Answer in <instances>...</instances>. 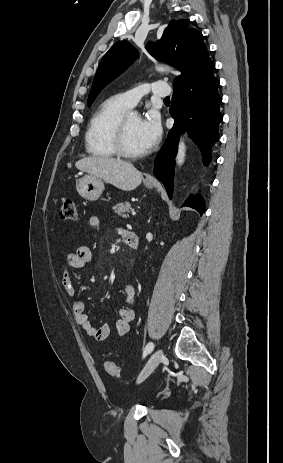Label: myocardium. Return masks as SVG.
Returning <instances> with one entry per match:
<instances>
[{
    "label": "myocardium",
    "mask_w": 283,
    "mask_h": 463,
    "mask_svg": "<svg viewBox=\"0 0 283 463\" xmlns=\"http://www.w3.org/2000/svg\"><path fill=\"white\" fill-rule=\"evenodd\" d=\"M128 115H123L118 121L114 132V148L116 153L126 159H141L148 155V151L134 153L127 149L125 145V128Z\"/></svg>",
    "instance_id": "obj_1"
}]
</instances>
